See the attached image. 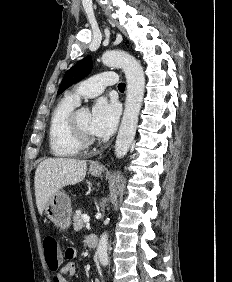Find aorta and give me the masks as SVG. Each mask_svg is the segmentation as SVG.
<instances>
[{
  "label": "aorta",
  "instance_id": "obj_1",
  "mask_svg": "<svg viewBox=\"0 0 232 282\" xmlns=\"http://www.w3.org/2000/svg\"><path fill=\"white\" fill-rule=\"evenodd\" d=\"M102 62L109 67L123 69L127 81L125 109L115 142V155L122 158L128 152L137 129L138 117L144 97L145 77L141 64L130 54L119 51H106L102 55ZM108 234H102L96 255L103 266L109 264L107 253Z\"/></svg>",
  "mask_w": 232,
  "mask_h": 282
}]
</instances>
